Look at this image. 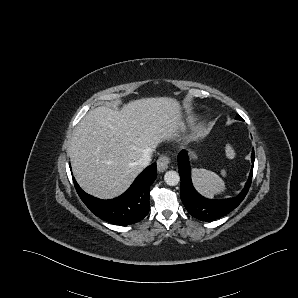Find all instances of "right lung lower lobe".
Wrapping results in <instances>:
<instances>
[{"label":"right lung lower lobe","mask_w":298,"mask_h":298,"mask_svg":"<svg viewBox=\"0 0 298 298\" xmlns=\"http://www.w3.org/2000/svg\"><path fill=\"white\" fill-rule=\"evenodd\" d=\"M156 177V163H153L135 179L124 194L111 200L88 195L74 178L73 180L78 195L93 214L115 225H129L139 222L148 214L150 186Z\"/></svg>","instance_id":"1"}]
</instances>
